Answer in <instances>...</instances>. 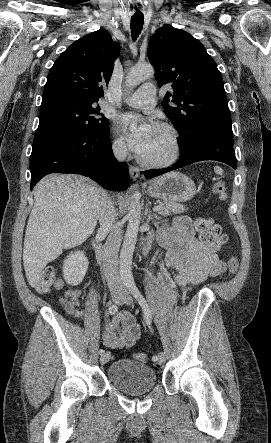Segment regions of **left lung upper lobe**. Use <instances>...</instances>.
<instances>
[{
	"mask_svg": "<svg viewBox=\"0 0 271 443\" xmlns=\"http://www.w3.org/2000/svg\"><path fill=\"white\" fill-rule=\"evenodd\" d=\"M148 58L159 87L171 84L162 105L180 135L206 121L231 124L224 83L215 61L202 43L184 30L164 25L151 37ZM171 102L175 106L168 105Z\"/></svg>",
	"mask_w": 271,
	"mask_h": 443,
	"instance_id": "left-lung-upper-lobe-1",
	"label": "left lung upper lobe"
}]
</instances>
